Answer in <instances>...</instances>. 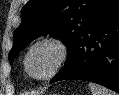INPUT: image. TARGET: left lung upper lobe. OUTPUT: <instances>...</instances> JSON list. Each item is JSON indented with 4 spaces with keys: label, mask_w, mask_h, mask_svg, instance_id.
I'll list each match as a JSON object with an SVG mask.
<instances>
[{
    "label": "left lung upper lobe",
    "mask_w": 119,
    "mask_h": 95,
    "mask_svg": "<svg viewBox=\"0 0 119 95\" xmlns=\"http://www.w3.org/2000/svg\"><path fill=\"white\" fill-rule=\"evenodd\" d=\"M112 1L29 0L22 8L21 24L13 35L10 63L32 40L49 34L68 47L66 64L61 70L67 69L74 60L83 35Z\"/></svg>",
    "instance_id": "1"
}]
</instances>
